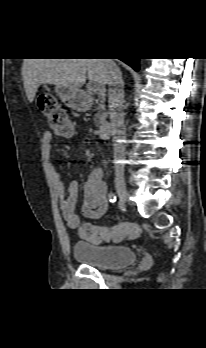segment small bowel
<instances>
[{"label":"small bowel","mask_w":206,"mask_h":348,"mask_svg":"<svg viewBox=\"0 0 206 348\" xmlns=\"http://www.w3.org/2000/svg\"><path fill=\"white\" fill-rule=\"evenodd\" d=\"M42 144L46 156L50 158L52 150V135L45 132L42 136ZM49 171L55 185L56 193L60 198V209L68 225L72 229L82 225V219L76 213V206L79 197V185L76 182L65 186L61 174L56 170L49 160ZM109 208L106 184L103 181L100 169H94L87 177L83 187V202L80 207L81 214L91 220L101 218Z\"/></svg>","instance_id":"obj_1"}]
</instances>
